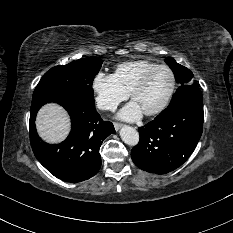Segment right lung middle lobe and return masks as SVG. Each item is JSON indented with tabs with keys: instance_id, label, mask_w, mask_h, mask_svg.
<instances>
[{
	"instance_id": "obj_1",
	"label": "right lung middle lobe",
	"mask_w": 233,
	"mask_h": 233,
	"mask_svg": "<svg viewBox=\"0 0 233 233\" xmlns=\"http://www.w3.org/2000/svg\"><path fill=\"white\" fill-rule=\"evenodd\" d=\"M102 63L93 57L51 68L38 83L32 102L42 98L73 99L95 105L92 83Z\"/></svg>"
}]
</instances>
